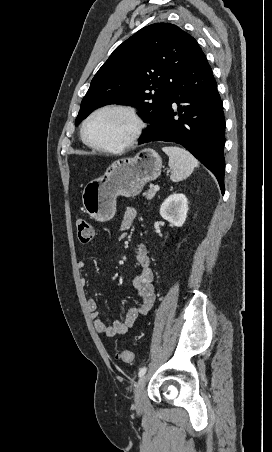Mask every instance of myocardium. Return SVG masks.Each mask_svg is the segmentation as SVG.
<instances>
[{
    "label": "myocardium",
    "mask_w": 272,
    "mask_h": 452,
    "mask_svg": "<svg viewBox=\"0 0 272 452\" xmlns=\"http://www.w3.org/2000/svg\"><path fill=\"white\" fill-rule=\"evenodd\" d=\"M105 111L123 112L126 115H128L133 122V130H132L130 136L124 143H122L118 146H107V145L98 144V143L91 141L87 136V126H88L89 122L91 121V119L94 118L96 115H98L102 112H105ZM143 129H144V122L134 108L127 106V105H122V104H107V105H104V106H101V107L95 109L93 112H91L87 116V118L84 120V122L82 124L81 136H82L83 141L91 148H94L96 150L103 151V152L120 153V152H123V151L129 149L137 142V140L140 138V136L143 132Z\"/></svg>",
    "instance_id": "obj_1"
}]
</instances>
